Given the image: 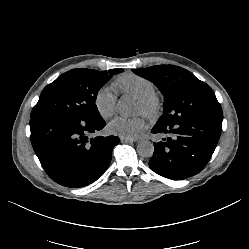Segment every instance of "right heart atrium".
Returning <instances> with one entry per match:
<instances>
[{
    "mask_svg": "<svg viewBox=\"0 0 249 249\" xmlns=\"http://www.w3.org/2000/svg\"><path fill=\"white\" fill-rule=\"evenodd\" d=\"M93 102L99 115L108 118L116 110L117 95L110 86L102 85L95 92Z\"/></svg>",
    "mask_w": 249,
    "mask_h": 249,
    "instance_id": "d8ad5b80",
    "label": "right heart atrium"
}]
</instances>
